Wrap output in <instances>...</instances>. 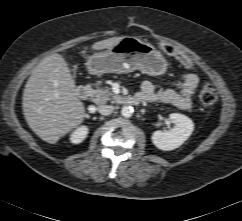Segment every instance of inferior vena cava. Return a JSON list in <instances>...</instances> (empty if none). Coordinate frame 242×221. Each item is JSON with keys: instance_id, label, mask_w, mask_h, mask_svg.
I'll use <instances>...</instances> for the list:
<instances>
[{"instance_id": "inferior-vena-cava-1", "label": "inferior vena cava", "mask_w": 242, "mask_h": 221, "mask_svg": "<svg viewBox=\"0 0 242 221\" xmlns=\"http://www.w3.org/2000/svg\"><path fill=\"white\" fill-rule=\"evenodd\" d=\"M98 111L101 115L107 116L114 111V106L112 105H100L98 106Z\"/></svg>"}]
</instances>
